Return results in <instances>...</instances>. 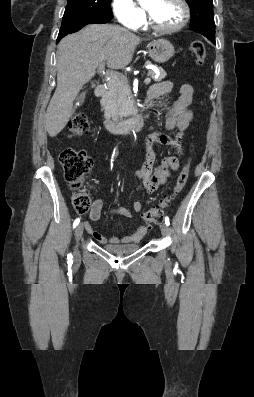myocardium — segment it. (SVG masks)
<instances>
[{
	"label": "myocardium",
	"instance_id": "myocardium-1",
	"mask_svg": "<svg viewBox=\"0 0 254 397\" xmlns=\"http://www.w3.org/2000/svg\"><path fill=\"white\" fill-rule=\"evenodd\" d=\"M176 2H178L180 4V6L182 7V10H183L182 18L177 25H175L173 27H169V28L160 27V26L156 25L151 14L148 11H146L147 25L155 32L162 33V34H171V33L180 31L183 27H185V25L187 24V22L189 20L190 8L185 0H176Z\"/></svg>",
	"mask_w": 254,
	"mask_h": 397
}]
</instances>
